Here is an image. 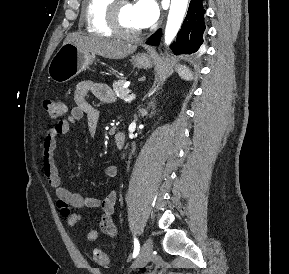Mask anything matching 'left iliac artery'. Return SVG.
Wrapping results in <instances>:
<instances>
[{"mask_svg": "<svg viewBox=\"0 0 289 274\" xmlns=\"http://www.w3.org/2000/svg\"><path fill=\"white\" fill-rule=\"evenodd\" d=\"M139 251H140L139 241H138V239L135 237V238H134L133 258H135L136 256H138Z\"/></svg>", "mask_w": 289, "mask_h": 274, "instance_id": "left-iliac-artery-1", "label": "left iliac artery"}]
</instances>
